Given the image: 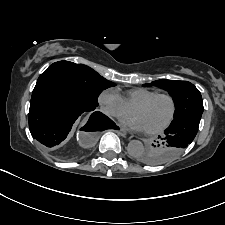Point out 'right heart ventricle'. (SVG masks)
I'll use <instances>...</instances> for the list:
<instances>
[{
    "label": "right heart ventricle",
    "instance_id": "1",
    "mask_svg": "<svg viewBox=\"0 0 225 225\" xmlns=\"http://www.w3.org/2000/svg\"><path fill=\"white\" fill-rule=\"evenodd\" d=\"M158 93L156 90L147 89V88H136L128 91L123 100L125 104L129 107H134L136 104L144 101L145 99L153 96Z\"/></svg>",
    "mask_w": 225,
    "mask_h": 225
}]
</instances>
